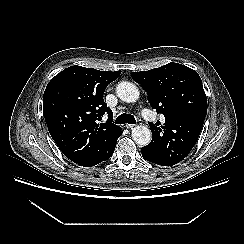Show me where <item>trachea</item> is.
<instances>
[{"instance_id": "3493384b", "label": "trachea", "mask_w": 244, "mask_h": 244, "mask_svg": "<svg viewBox=\"0 0 244 244\" xmlns=\"http://www.w3.org/2000/svg\"><path fill=\"white\" fill-rule=\"evenodd\" d=\"M116 124H135L136 120L133 115L128 114V113H123L120 116H118L115 120Z\"/></svg>"}]
</instances>
